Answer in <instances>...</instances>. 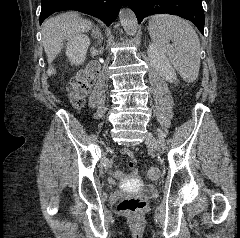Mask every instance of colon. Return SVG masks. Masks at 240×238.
<instances>
[{
    "label": "colon",
    "instance_id": "5ec220e1",
    "mask_svg": "<svg viewBox=\"0 0 240 238\" xmlns=\"http://www.w3.org/2000/svg\"><path fill=\"white\" fill-rule=\"evenodd\" d=\"M98 74V67L95 64H90L79 70L71 79L68 85V95L72 106L75 109H81L89 89ZM161 171L158 167H150L147 171V176L151 180L158 179ZM146 206L144 197L127 196L124 197L118 204V210L128 214H137Z\"/></svg>",
    "mask_w": 240,
    "mask_h": 238
}]
</instances>
